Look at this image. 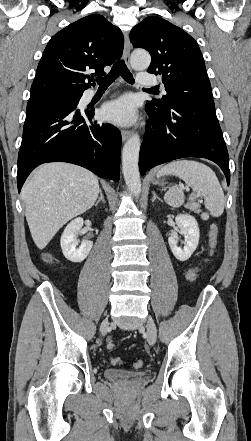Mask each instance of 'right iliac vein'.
<instances>
[{"label": "right iliac vein", "instance_id": "obj_1", "mask_svg": "<svg viewBox=\"0 0 251 441\" xmlns=\"http://www.w3.org/2000/svg\"><path fill=\"white\" fill-rule=\"evenodd\" d=\"M108 328H109V321L107 319H105L100 326V331H101L102 335L106 334Z\"/></svg>", "mask_w": 251, "mask_h": 441}]
</instances>
